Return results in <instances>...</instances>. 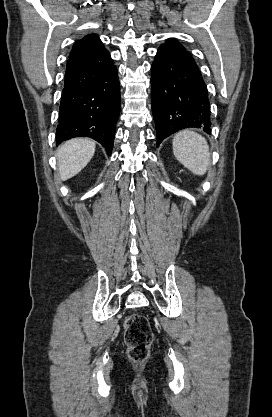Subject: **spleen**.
Returning <instances> with one entry per match:
<instances>
[{"label": "spleen", "mask_w": 272, "mask_h": 417, "mask_svg": "<svg viewBox=\"0 0 272 417\" xmlns=\"http://www.w3.org/2000/svg\"><path fill=\"white\" fill-rule=\"evenodd\" d=\"M176 159L195 175H204L209 167V146L204 137L191 130H182L173 138Z\"/></svg>", "instance_id": "spleen-1"}]
</instances>
